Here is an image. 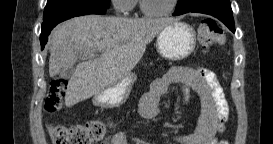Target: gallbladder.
I'll return each instance as SVG.
<instances>
[{
  "instance_id": "1",
  "label": "gallbladder",
  "mask_w": 273,
  "mask_h": 144,
  "mask_svg": "<svg viewBox=\"0 0 273 144\" xmlns=\"http://www.w3.org/2000/svg\"><path fill=\"white\" fill-rule=\"evenodd\" d=\"M74 71V66L68 65L62 73L63 75H59V80H69V76L74 73Z\"/></svg>"
}]
</instances>
